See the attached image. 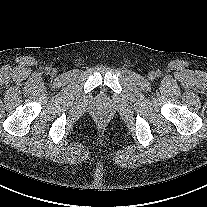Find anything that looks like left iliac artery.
I'll return each instance as SVG.
<instances>
[{
  "label": "left iliac artery",
  "instance_id": "left-iliac-artery-1",
  "mask_svg": "<svg viewBox=\"0 0 207 207\" xmlns=\"http://www.w3.org/2000/svg\"><path fill=\"white\" fill-rule=\"evenodd\" d=\"M155 74H156V76H160L161 73H160V71H157Z\"/></svg>",
  "mask_w": 207,
  "mask_h": 207
}]
</instances>
